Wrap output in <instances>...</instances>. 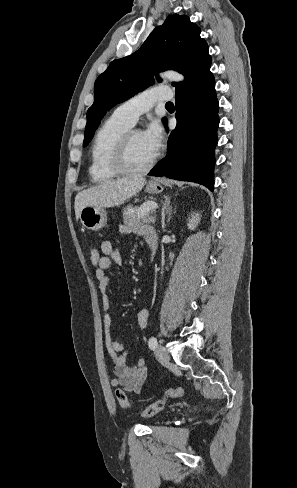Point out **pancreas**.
<instances>
[{
    "label": "pancreas",
    "instance_id": "obj_1",
    "mask_svg": "<svg viewBox=\"0 0 297 488\" xmlns=\"http://www.w3.org/2000/svg\"><path fill=\"white\" fill-rule=\"evenodd\" d=\"M154 203V202H148ZM141 221L143 222H153L154 217L149 211L142 212L141 207H133L132 205L127 206L123 209V222L127 225H137Z\"/></svg>",
    "mask_w": 297,
    "mask_h": 488
}]
</instances>
